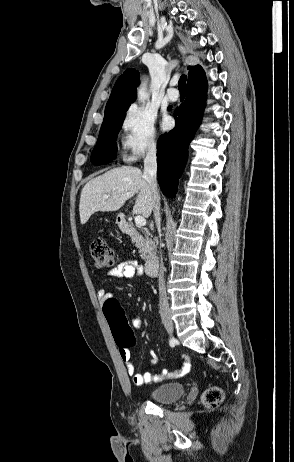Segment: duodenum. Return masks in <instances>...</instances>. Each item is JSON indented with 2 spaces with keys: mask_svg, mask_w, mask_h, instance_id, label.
I'll return each instance as SVG.
<instances>
[{
  "mask_svg": "<svg viewBox=\"0 0 294 462\" xmlns=\"http://www.w3.org/2000/svg\"><path fill=\"white\" fill-rule=\"evenodd\" d=\"M118 224L123 233L129 234L132 236L138 235V231L136 230V228L128 222V220L126 219L124 215H120L118 217ZM158 270H159V259L156 255H153L146 260L145 271L149 277H155L158 274Z\"/></svg>",
  "mask_w": 294,
  "mask_h": 462,
  "instance_id": "obj_1",
  "label": "duodenum"
}]
</instances>
